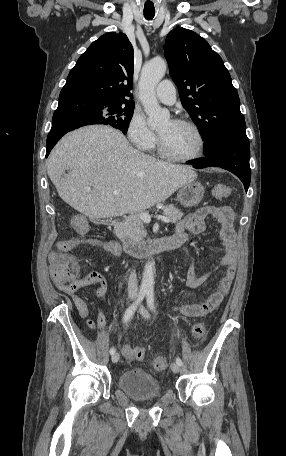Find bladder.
<instances>
[{"label": "bladder", "instance_id": "bladder-1", "mask_svg": "<svg viewBox=\"0 0 286 456\" xmlns=\"http://www.w3.org/2000/svg\"><path fill=\"white\" fill-rule=\"evenodd\" d=\"M119 387L127 396L136 401L156 399L162 394L158 380L150 373L136 367L126 370L120 375Z\"/></svg>", "mask_w": 286, "mask_h": 456}]
</instances>
